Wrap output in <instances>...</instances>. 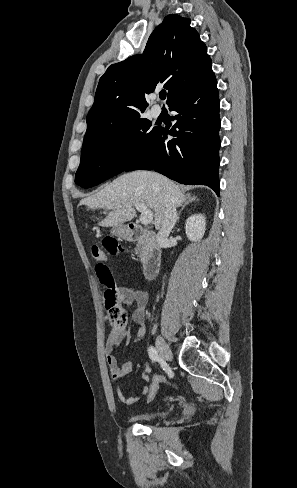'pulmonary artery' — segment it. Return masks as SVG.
Here are the masks:
<instances>
[{"label": "pulmonary artery", "mask_w": 297, "mask_h": 488, "mask_svg": "<svg viewBox=\"0 0 297 488\" xmlns=\"http://www.w3.org/2000/svg\"><path fill=\"white\" fill-rule=\"evenodd\" d=\"M151 112L153 117L157 118L161 114V109L158 106H154Z\"/></svg>", "instance_id": "e3ab8cb5"}]
</instances>
